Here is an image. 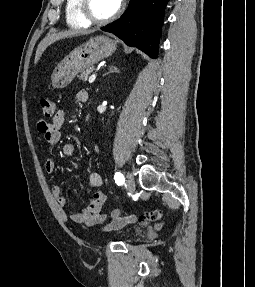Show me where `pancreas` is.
I'll return each instance as SVG.
<instances>
[{"mask_svg": "<svg viewBox=\"0 0 255 287\" xmlns=\"http://www.w3.org/2000/svg\"><path fill=\"white\" fill-rule=\"evenodd\" d=\"M94 70H95L94 66H91V68H86V70H83L80 76H78L79 80H84V82H86L88 76H90V74H92Z\"/></svg>", "mask_w": 255, "mask_h": 287, "instance_id": "cf45deb5", "label": "pancreas"}]
</instances>
